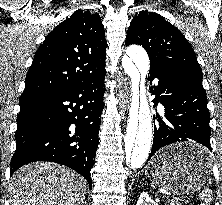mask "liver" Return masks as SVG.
Masks as SVG:
<instances>
[{
    "label": "liver",
    "instance_id": "6515ba94",
    "mask_svg": "<svg viewBox=\"0 0 222 205\" xmlns=\"http://www.w3.org/2000/svg\"><path fill=\"white\" fill-rule=\"evenodd\" d=\"M9 191L10 205H83L86 183L70 168L35 162L14 173Z\"/></svg>",
    "mask_w": 222,
    "mask_h": 205
}]
</instances>
